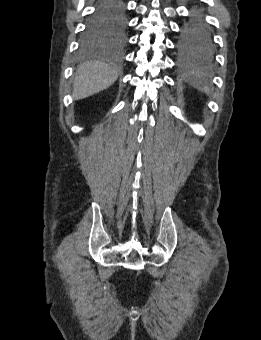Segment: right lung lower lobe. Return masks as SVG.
<instances>
[{
    "label": "right lung lower lobe",
    "mask_w": 261,
    "mask_h": 340,
    "mask_svg": "<svg viewBox=\"0 0 261 340\" xmlns=\"http://www.w3.org/2000/svg\"><path fill=\"white\" fill-rule=\"evenodd\" d=\"M125 11L124 0H98L96 13L115 15Z\"/></svg>",
    "instance_id": "98d812e1"
}]
</instances>
